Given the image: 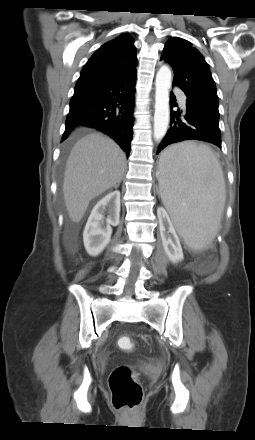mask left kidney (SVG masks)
I'll use <instances>...</instances> for the list:
<instances>
[{"label": "left kidney", "instance_id": "1", "mask_svg": "<svg viewBox=\"0 0 255 440\" xmlns=\"http://www.w3.org/2000/svg\"><path fill=\"white\" fill-rule=\"evenodd\" d=\"M157 213L161 221L160 233L165 253L173 263L182 261L184 259L182 247L167 212L160 207Z\"/></svg>", "mask_w": 255, "mask_h": 440}]
</instances>
